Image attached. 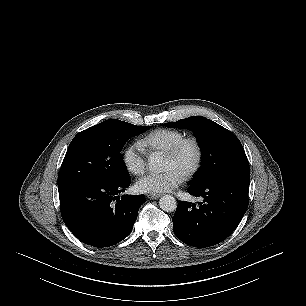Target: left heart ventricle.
Returning <instances> with one entry per match:
<instances>
[{
	"mask_svg": "<svg viewBox=\"0 0 306 306\" xmlns=\"http://www.w3.org/2000/svg\"><path fill=\"white\" fill-rule=\"evenodd\" d=\"M196 160V150L193 144L184 146L179 155L175 158L164 156L163 170L174 169L183 177L190 171Z\"/></svg>",
	"mask_w": 306,
	"mask_h": 306,
	"instance_id": "1",
	"label": "left heart ventricle"
}]
</instances>
